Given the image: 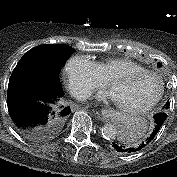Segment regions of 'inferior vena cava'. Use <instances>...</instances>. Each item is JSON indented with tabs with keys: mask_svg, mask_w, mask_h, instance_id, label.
<instances>
[{
	"mask_svg": "<svg viewBox=\"0 0 177 177\" xmlns=\"http://www.w3.org/2000/svg\"><path fill=\"white\" fill-rule=\"evenodd\" d=\"M90 95H91V92L85 91V92H82V93L77 94L76 97H77L78 100H85V99H87L88 97H90Z\"/></svg>",
	"mask_w": 177,
	"mask_h": 177,
	"instance_id": "inferior-vena-cava-1",
	"label": "inferior vena cava"
}]
</instances>
